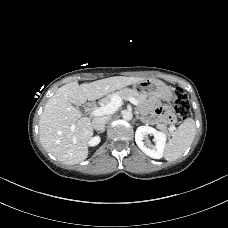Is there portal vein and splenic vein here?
Returning <instances> with one entry per match:
<instances>
[{"label":"portal vein and splenic vein","instance_id":"obj_1","mask_svg":"<svg viewBox=\"0 0 228 228\" xmlns=\"http://www.w3.org/2000/svg\"><path fill=\"white\" fill-rule=\"evenodd\" d=\"M127 100L130 101L133 105L138 104V101L135 98L130 97ZM121 105L122 99L119 96H114L111 98V101L108 104L94 109L91 112V116L98 117L113 114Z\"/></svg>","mask_w":228,"mask_h":228}]
</instances>
